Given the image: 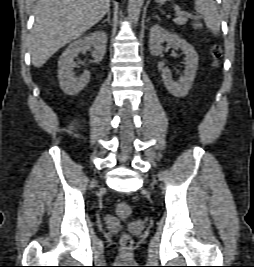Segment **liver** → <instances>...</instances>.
Listing matches in <instances>:
<instances>
[{
    "label": "liver",
    "mask_w": 254,
    "mask_h": 267,
    "mask_svg": "<svg viewBox=\"0 0 254 267\" xmlns=\"http://www.w3.org/2000/svg\"><path fill=\"white\" fill-rule=\"evenodd\" d=\"M110 0H39L30 33L32 64L40 68L60 48L97 24Z\"/></svg>",
    "instance_id": "liver-1"
}]
</instances>
